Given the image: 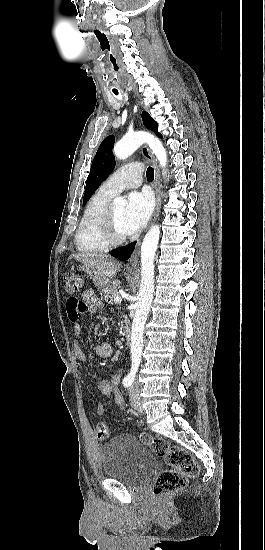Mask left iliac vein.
Returning <instances> with one entry per match:
<instances>
[{"label": "left iliac vein", "mask_w": 265, "mask_h": 550, "mask_svg": "<svg viewBox=\"0 0 265 550\" xmlns=\"http://www.w3.org/2000/svg\"><path fill=\"white\" fill-rule=\"evenodd\" d=\"M130 403L136 411L143 413L144 408L140 402L139 395L133 388L130 389Z\"/></svg>", "instance_id": "obj_1"}]
</instances>
